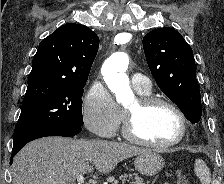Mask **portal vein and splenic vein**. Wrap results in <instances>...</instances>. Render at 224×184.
I'll list each match as a JSON object with an SVG mask.
<instances>
[{
    "label": "portal vein and splenic vein",
    "instance_id": "portal-vein-and-splenic-vein-1",
    "mask_svg": "<svg viewBox=\"0 0 224 184\" xmlns=\"http://www.w3.org/2000/svg\"><path fill=\"white\" fill-rule=\"evenodd\" d=\"M77 182H78V184H84V177H83V175H79L77 177Z\"/></svg>",
    "mask_w": 224,
    "mask_h": 184
}]
</instances>
